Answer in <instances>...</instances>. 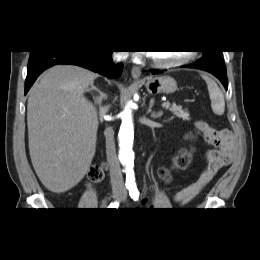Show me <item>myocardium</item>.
<instances>
[{"instance_id": "1", "label": "myocardium", "mask_w": 260, "mask_h": 260, "mask_svg": "<svg viewBox=\"0 0 260 260\" xmlns=\"http://www.w3.org/2000/svg\"><path fill=\"white\" fill-rule=\"evenodd\" d=\"M194 56V52L190 51L185 53L182 57L170 61H159L155 59L152 55H149V59L150 62L157 68L171 69L187 64L194 58Z\"/></svg>"}]
</instances>
